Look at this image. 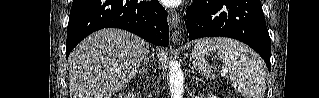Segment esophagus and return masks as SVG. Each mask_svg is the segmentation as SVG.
<instances>
[{"label":"esophagus","instance_id":"34e87169","mask_svg":"<svg viewBox=\"0 0 319 98\" xmlns=\"http://www.w3.org/2000/svg\"><path fill=\"white\" fill-rule=\"evenodd\" d=\"M168 23H169V27L174 30V32L172 33L173 42L180 41L181 32L177 30L180 23V16L176 11L174 10L168 11Z\"/></svg>","mask_w":319,"mask_h":98}]
</instances>
